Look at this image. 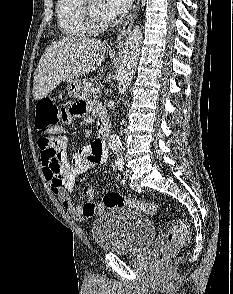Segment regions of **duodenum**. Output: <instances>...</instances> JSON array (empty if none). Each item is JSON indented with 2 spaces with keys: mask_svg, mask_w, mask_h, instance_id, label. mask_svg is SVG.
I'll list each match as a JSON object with an SVG mask.
<instances>
[{
  "mask_svg": "<svg viewBox=\"0 0 233 294\" xmlns=\"http://www.w3.org/2000/svg\"><path fill=\"white\" fill-rule=\"evenodd\" d=\"M96 112L99 115V120L96 127L97 140L100 143L105 144L109 136L110 124L99 106L97 107Z\"/></svg>",
  "mask_w": 233,
  "mask_h": 294,
  "instance_id": "duodenum-1",
  "label": "duodenum"
}]
</instances>
